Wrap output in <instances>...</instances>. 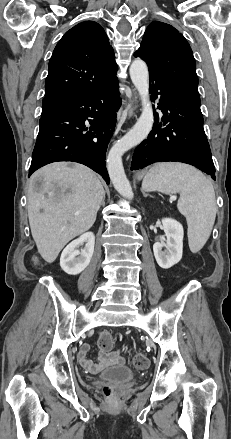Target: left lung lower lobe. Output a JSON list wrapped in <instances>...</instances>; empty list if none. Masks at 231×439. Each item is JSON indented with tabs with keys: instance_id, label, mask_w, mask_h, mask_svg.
I'll use <instances>...</instances> for the list:
<instances>
[{
	"instance_id": "0a47b994",
	"label": "left lung lower lobe",
	"mask_w": 231,
	"mask_h": 439,
	"mask_svg": "<svg viewBox=\"0 0 231 439\" xmlns=\"http://www.w3.org/2000/svg\"><path fill=\"white\" fill-rule=\"evenodd\" d=\"M149 78L151 98L160 97L157 108L164 115L159 122L158 113H154L155 126L136 148L131 169L137 170L156 162L177 161L193 165L215 180V167L200 107L155 74L149 72Z\"/></svg>"
}]
</instances>
